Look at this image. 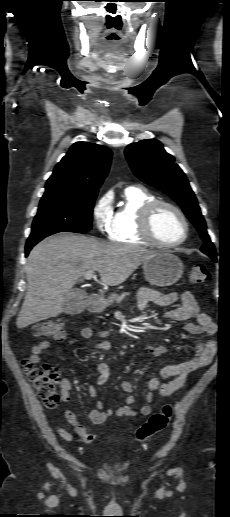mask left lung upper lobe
Returning <instances> with one entry per match:
<instances>
[{"label": "left lung upper lobe", "instance_id": "obj_1", "mask_svg": "<svg viewBox=\"0 0 230 517\" xmlns=\"http://www.w3.org/2000/svg\"><path fill=\"white\" fill-rule=\"evenodd\" d=\"M125 155L139 179L168 194L182 207L204 241L201 251L216 261L215 247L207 234L197 199L184 172L175 163V158L168 154L161 142L156 139H146L128 145Z\"/></svg>", "mask_w": 230, "mask_h": 517}]
</instances>
